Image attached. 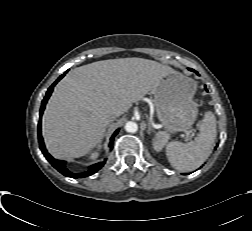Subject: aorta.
<instances>
[{"instance_id":"aorta-1","label":"aorta","mask_w":252,"mask_h":231,"mask_svg":"<svg viewBox=\"0 0 252 231\" xmlns=\"http://www.w3.org/2000/svg\"><path fill=\"white\" fill-rule=\"evenodd\" d=\"M125 130L129 133H135L138 130V125L133 121H128L125 124Z\"/></svg>"}]
</instances>
